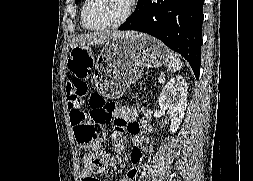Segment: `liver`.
I'll return each mask as SVG.
<instances>
[{"instance_id": "6515ba94", "label": "liver", "mask_w": 253, "mask_h": 181, "mask_svg": "<svg viewBox=\"0 0 253 181\" xmlns=\"http://www.w3.org/2000/svg\"><path fill=\"white\" fill-rule=\"evenodd\" d=\"M136 32L134 31H106V32H94L79 36L74 42L73 47L76 48L79 45H98L104 44L109 39H115L123 36H132Z\"/></svg>"}]
</instances>
